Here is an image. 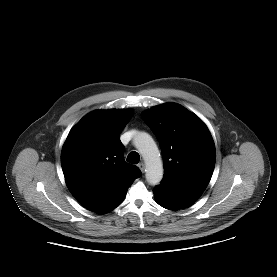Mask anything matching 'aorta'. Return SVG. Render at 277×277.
I'll use <instances>...</instances> for the list:
<instances>
[{"label": "aorta", "mask_w": 277, "mask_h": 277, "mask_svg": "<svg viewBox=\"0 0 277 277\" xmlns=\"http://www.w3.org/2000/svg\"><path fill=\"white\" fill-rule=\"evenodd\" d=\"M133 142L145 161L147 182L150 185L159 184L163 178V163L155 141L148 133L139 132Z\"/></svg>", "instance_id": "762f6f07"}]
</instances>
